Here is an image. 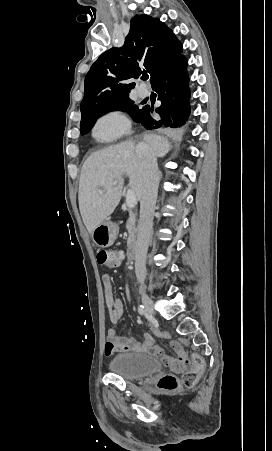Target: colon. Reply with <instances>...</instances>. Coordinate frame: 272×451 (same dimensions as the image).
I'll list each match as a JSON object with an SVG mask.
<instances>
[{
  "mask_svg": "<svg viewBox=\"0 0 272 451\" xmlns=\"http://www.w3.org/2000/svg\"><path fill=\"white\" fill-rule=\"evenodd\" d=\"M123 258L122 251H100L96 253L95 260L101 265L118 266ZM177 344L172 345V349L176 350ZM163 363L164 367H174L175 374H184L183 383L189 387L195 382V374H203L205 359L186 357L182 351L178 353L176 358H171L164 353L157 356ZM179 383L174 374H165L158 380V388L163 391L174 390Z\"/></svg>",
  "mask_w": 272,
  "mask_h": 451,
  "instance_id": "1",
  "label": "colon"
}]
</instances>
